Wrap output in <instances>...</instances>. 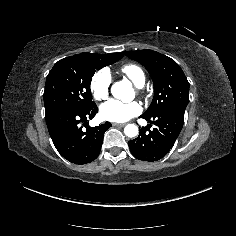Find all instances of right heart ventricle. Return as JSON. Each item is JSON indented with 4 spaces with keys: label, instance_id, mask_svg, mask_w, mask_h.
I'll return each mask as SVG.
<instances>
[{
    "label": "right heart ventricle",
    "instance_id": "obj_1",
    "mask_svg": "<svg viewBox=\"0 0 236 236\" xmlns=\"http://www.w3.org/2000/svg\"><path fill=\"white\" fill-rule=\"evenodd\" d=\"M121 72L137 86H142L145 81L144 71L137 64H125L121 67Z\"/></svg>",
    "mask_w": 236,
    "mask_h": 236
}]
</instances>
